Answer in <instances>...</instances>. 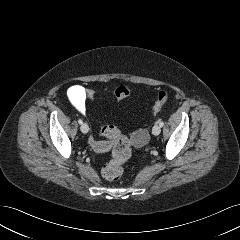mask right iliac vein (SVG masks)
Masks as SVG:
<instances>
[{"instance_id":"1","label":"right iliac vein","mask_w":240,"mask_h":240,"mask_svg":"<svg viewBox=\"0 0 240 240\" xmlns=\"http://www.w3.org/2000/svg\"><path fill=\"white\" fill-rule=\"evenodd\" d=\"M80 129H81V132L84 133V134L88 133V131H89V127L86 123H83L81 125Z\"/></svg>"}]
</instances>
